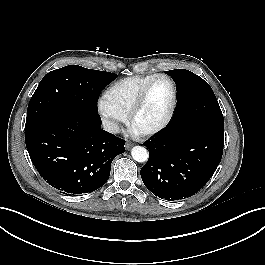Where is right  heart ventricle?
<instances>
[{"mask_svg":"<svg viewBox=\"0 0 265 265\" xmlns=\"http://www.w3.org/2000/svg\"><path fill=\"white\" fill-rule=\"evenodd\" d=\"M155 76L136 75L120 79L105 92V102L114 110L127 117L142 88Z\"/></svg>","mask_w":265,"mask_h":265,"instance_id":"e07e8e85","label":"right heart ventricle"}]
</instances>
